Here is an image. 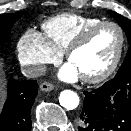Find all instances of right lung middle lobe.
I'll return each instance as SVG.
<instances>
[{
	"instance_id": "obj_1",
	"label": "right lung middle lobe",
	"mask_w": 131,
	"mask_h": 131,
	"mask_svg": "<svg viewBox=\"0 0 131 131\" xmlns=\"http://www.w3.org/2000/svg\"><path fill=\"white\" fill-rule=\"evenodd\" d=\"M22 14V12L0 14V44L8 41L11 27Z\"/></svg>"
}]
</instances>
